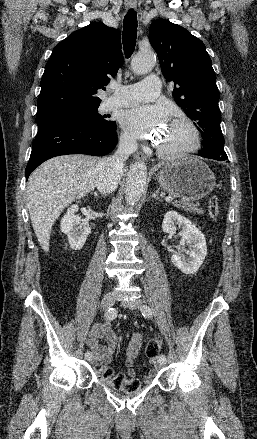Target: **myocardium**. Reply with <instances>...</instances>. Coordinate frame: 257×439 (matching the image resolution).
Here are the masks:
<instances>
[{"label":"myocardium","mask_w":257,"mask_h":439,"mask_svg":"<svg viewBox=\"0 0 257 439\" xmlns=\"http://www.w3.org/2000/svg\"><path fill=\"white\" fill-rule=\"evenodd\" d=\"M170 123L188 128L192 135V145L181 150H167L161 146H157L158 155L164 159L177 160L196 153L201 147V135L196 125L190 120L184 118L174 119Z\"/></svg>","instance_id":"myocardium-1"}]
</instances>
